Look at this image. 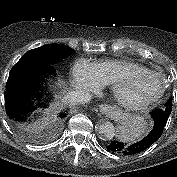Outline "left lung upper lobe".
<instances>
[{
  "label": "left lung upper lobe",
  "mask_w": 177,
  "mask_h": 177,
  "mask_svg": "<svg viewBox=\"0 0 177 177\" xmlns=\"http://www.w3.org/2000/svg\"><path fill=\"white\" fill-rule=\"evenodd\" d=\"M167 107H170L169 110H172V97L169 98V100L164 104V106L162 108L164 109V108H167Z\"/></svg>",
  "instance_id": "1"
}]
</instances>
